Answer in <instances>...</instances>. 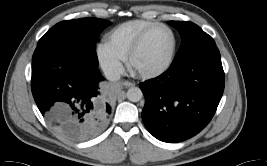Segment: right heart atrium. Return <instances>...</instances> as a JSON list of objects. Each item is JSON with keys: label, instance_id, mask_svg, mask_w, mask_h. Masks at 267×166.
I'll return each mask as SVG.
<instances>
[{"label": "right heart atrium", "instance_id": "1", "mask_svg": "<svg viewBox=\"0 0 267 166\" xmlns=\"http://www.w3.org/2000/svg\"><path fill=\"white\" fill-rule=\"evenodd\" d=\"M97 59L110 77L117 76L123 67V58L109 45V43H99L96 46Z\"/></svg>", "mask_w": 267, "mask_h": 166}]
</instances>
